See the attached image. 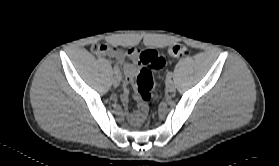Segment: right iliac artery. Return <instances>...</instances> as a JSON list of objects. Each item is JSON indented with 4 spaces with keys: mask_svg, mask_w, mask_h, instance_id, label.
<instances>
[{
    "mask_svg": "<svg viewBox=\"0 0 279 166\" xmlns=\"http://www.w3.org/2000/svg\"><path fill=\"white\" fill-rule=\"evenodd\" d=\"M113 70H114L115 74H119V72H120V70L117 66H114Z\"/></svg>",
    "mask_w": 279,
    "mask_h": 166,
    "instance_id": "obj_1",
    "label": "right iliac artery"
}]
</instances>
